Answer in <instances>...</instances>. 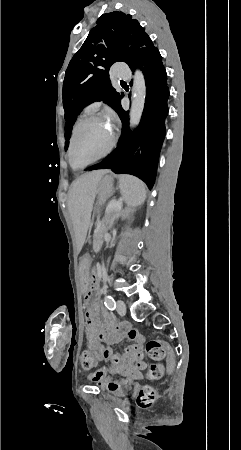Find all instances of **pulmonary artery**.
I'll return each instance as SVG.
<instances>
[{
  "instance_id": "pulmonary-artery-1",
  "label": "pulmonary artery",
  "mask_w": 241,
  "mask_h": 450,
  "mask_svg": "<svg viewBox=\"0 0 241 450\" xmlns=\"http://www.w3.org/2000/svg\"><path fill=\"white\" fill-rule=\"evenodd\" d=\"M110 75L113 78L120 80L122 84H129L133 78V73L131 71H125V66L123 64H114Z\"/></svg>"
}]
</instances>
